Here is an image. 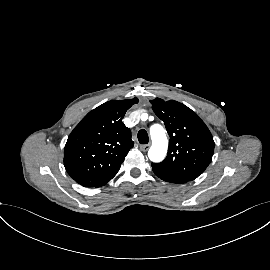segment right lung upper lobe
<instances>
[{
	"label": "right lung upper lobe",
	"mask_w": 270,
	"mask_h": 270,
	"mask_svg": "<svg viewBox=\"0 0 270 270\" xmlns=\"http://www.w3.org/2000/svg\"><path fill=\"white\" fill-rule=\"evenodd\" d=\"M136 103L137 98L108 101L90 111L71 132L64 166L77 183L100 187L117 174L134 144L122 119Z\"/></svg>",
	"instance_id": "cb5924a9"
}]
</instances>
